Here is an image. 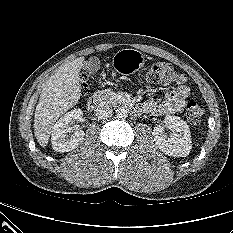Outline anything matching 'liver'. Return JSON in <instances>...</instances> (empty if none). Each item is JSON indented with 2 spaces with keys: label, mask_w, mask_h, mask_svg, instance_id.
<instances>
[{
  "label": "liver",
  "mask_w": 233,
  "mask_h": 233,
  "mask_svg": "<svg viewBox=\"0 0 233 233\" xmlns=\"http://www.w3.org/2000/svg\"><path fill=\"white\" fill-rule=\"evenodd\" d=\"M84 57L61 66L43 87L34 116V134L45 147L50 139L54 123L80 99V70Z\"/></svg>",
  "instance_id": "liver-1"
}]
</instances>
